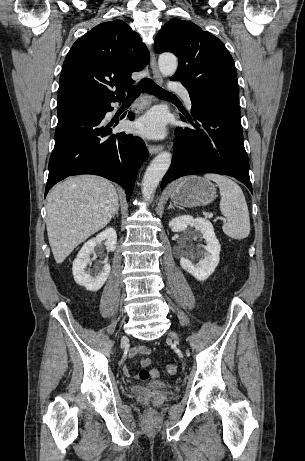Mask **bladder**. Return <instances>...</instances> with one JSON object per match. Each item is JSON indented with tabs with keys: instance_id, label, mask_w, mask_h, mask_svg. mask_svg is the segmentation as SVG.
<instances>
[{
	"instance_id": "obj_1",
	"label": "bladder",
	"mask_w": 305,
	"mask_h": 461,
	"mask_svg": "<svg viewBox=\"0 0 305 461\" xmlns=\"http://www.w3.org/2000/svg\"><path fill=\"white\" fill-rule=\"evenodd\" d=\"M168 385L163 381H152L147 384V388L150 390H160L166 388Z\"/></svg>"
}]
</instances>
